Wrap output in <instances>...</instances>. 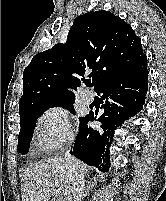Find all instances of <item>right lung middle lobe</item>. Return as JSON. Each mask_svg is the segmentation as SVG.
Segmentation results:
<instances>
[{"label": "right lung middle lobe", "instance_id": "dd1d6c3e", "mask_svg": "<svg viewBox=\"0 0 166 201\" xmlns=\"http://www.w3.org/2000/svg\"><path fill=\"white\" fill-rule=\"evenodd\" d=\"M57 106L70 109V111L74 112L73 101L63 103V104H60ZM57 106H54V107H57ZM48 108L37 109V110L27 112L23 115H20V127H21V129H20V132L18 135L17 149L21 154H27L28 153L36 120ZM83 119L84 118H80V122H82Z\"/></svg>", "mask_w": 166, "mask_h": 201}]
</instances>
